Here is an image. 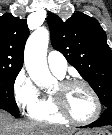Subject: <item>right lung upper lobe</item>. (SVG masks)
I'll list each match as a JSON object with an SVG mask.
<instances>
[{
  "label": "right lung upper lobe",
  "mask_w": 112,
  "mask_h": 135,
  "mask_svg": "<svg viewBox=\"0 0 112 135\" xmlns=\"http://www.w3.org/2000/svg\"><path fill=\"white\" fill-rule=\"evenodd\" d=\"M29 29L25 19L5 13L0 17V69L21 70Z\"/></svg>",
  "instance_id": "cb5924a9"
}]
</instances>
